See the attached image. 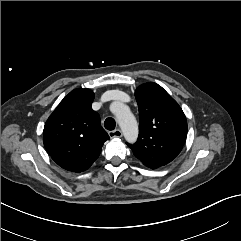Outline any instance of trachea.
I'll use <instances>...</instances> for the list:
<instances>
[{
    "label": "trachea",
    "instance_id": "3493384b",
    "mask_svg": "<svg viewBox=\"0 0 241 241\" xmlns=\"http://www.w3.org/2000/svg\"><path fill=\"white\" fill-rule=\"evenodd\" d=\"M104 126L107 130H114L115 129V126H116V123H115V120L113 118H107L104 122Z\"/></svg>",
    "mask_w": 241,
    "mask_h": 241
}]
</instances>
